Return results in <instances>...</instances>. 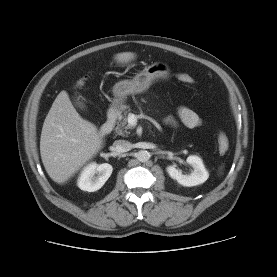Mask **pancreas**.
Returning <instances> with one entry per match:
<instances>
[{
	"mask_svg": "<svg viewBox=\"0 0 277 277\" xmlns=\"http://www.w3.org/2000/svg\"><path fill=\"white\" fill-rule=\"evenodd\" d=\"M127 114H128V111L125 110L123 115L120 116L119 121L117 122L116 133L118 135L125 136V134L128 133Z\"/></svg>",
	"mask_w": 277,
	"mask_h": 277,
	"instance_id": "pancreas-1",
	"label": "pancreas"
}]
</instances>
